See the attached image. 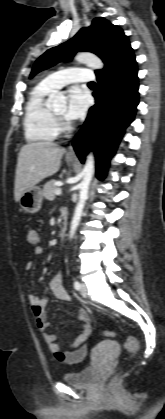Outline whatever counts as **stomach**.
I'll return each mask as SVG.
<instances>
[{"label": "stomach", "instance_id": "obj_1", "mask_svg": "<svg viewBox=\"0 0 165 419\" xmlns=\"http://www.w3.org/2000/svg\"><path fill=\"white\" fill-rule=\"evenodd\" d=\"M72 161V159H69ZM43 201V192L40 187L33 186L27 190H25L18 202L21 208L28 213L34 214L41 209Z\"/></svg>", "mask_w": 165, "mask_h": 419}]
</instances>
